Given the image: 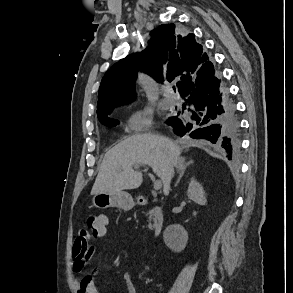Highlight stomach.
<instances>
[{"label": "stomach", "mask_w": 293, "mask_h": 293, "mask_svg": "<svg viewBox=\"0 0 293 293\" xmlns=\"http://www.w3.org/2000/svg\"><path fill=\"white\" fill-rule=\"evenodd\" d=\"M93 205L99 209L116 207L125 211L131 210L135 203L132 196L124 191L115 194L98 193L93 196Z\"/></svg>", "instance_id": "obj_1"}]
</instances>
